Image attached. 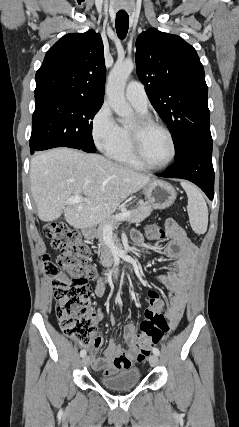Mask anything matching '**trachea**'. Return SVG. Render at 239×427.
<instances>
[{
    "label": "trachea",
    "mask_w": 239,
    "mask_h": 427,
    "mask_svg": "<svg viewBox=\"0 0 239 427\" xmlns=\"http://www.w3.org/2000/svg\"><path fill=\"white\" fill-rule=\"evenodd\" d=\"M115 27L118 37L123 40L126 37L129 28V16L127 14L117 15Z\"/></svg>",
    "instance_id": "3493384b"
}]
</instances>
